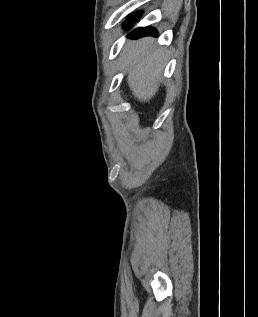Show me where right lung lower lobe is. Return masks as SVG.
<instances>
[{
  "label": "right lung lower lobe",
  "mask_w": 258,
  "mask_h": 317,
  "mask_svg": "<svg viewBox=\"0 0 258 317\" xmlns=\"http://www.w3.org/2000/svg\"><path fill=\"white\" fill-rule=\"evenodd\" d=\"M140 15H141V13L138 12V13L134 14L133 16H131L130 20L126 23V26H129L131 22L138 19L140 17ZM147 35H157V32L154 28H151V27L139 28V29L134 30L128 37L133 38V39H137V38L147 36Z\"/></svg>",
  "instance_id": "obj_1"
}]
</instances>
